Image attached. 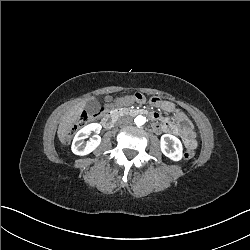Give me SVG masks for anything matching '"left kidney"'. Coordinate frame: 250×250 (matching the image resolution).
Segmentation results:
<instances>
[{
    "mask_svg": "<svg viewBox=\"0 0 250 250\" xmlns=\"http://www.w3.org/2000/svg\"><path fill=\"white\" fill-rule=\"evenodd\" d=\"M171 145L172 149L169 148ZM160 147L162 153L173 161H179L182 158L181 141L171 134L161 136Z\"/></svg>",
    "mask_w": 250,
    "mask_h": 250,
    "instance_id": "5707ae66",
    "label": "left kidney"
}]
</instances>
